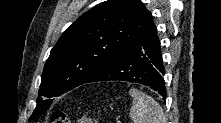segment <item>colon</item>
<instances>
[{
    "mask_svg": "<svg viewBox=\"0 0 221 123\" xmlns=\"http://www.w3.org/2000/svg\"><path fill=\"white\" fill-rule=\"evenodd\" d=\"M51 121L52 123H70L71 122L67 114L62 111H57L53 113L51 117Z\"/></svg>",
    "mask_w": 221,
    "mask_h": 123,
    "instance_id": "colon-1",
    "label": "colon"
}]
</instances>
